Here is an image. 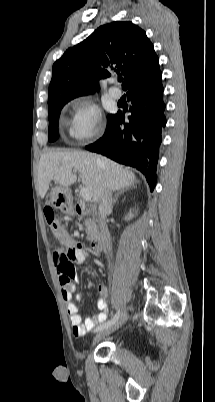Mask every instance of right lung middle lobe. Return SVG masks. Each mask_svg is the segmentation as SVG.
I'll return each instance as SVG.
<instances>
[{
    "mask_svg": "<svg viewBox=\"0 0 215 402\" xmlns=\"http://www.w3.org/2000/svg\"><path fill=\"white\" fill-rule=\"evenodd\" d=\"M71 99L73 98H58L48 104L49 108L48 140L50 142L57 140V138L59 137L58 133L59 115L63 106ZM110 116L111 115H108L107 120Z\"/></svg>",
    "mask_w": 215,
    "mask_h": 402,
    "instance_id": "dd1d6c3e",
    "label": "right lung middle lobe"
}]
</instances>
